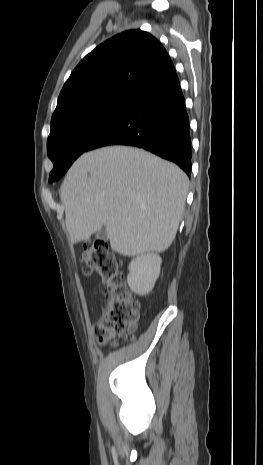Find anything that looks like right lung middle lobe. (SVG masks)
Listing matches in <instances>:
<instances>
[{
    "label": "right lung middle lobe",
    "mask_w": 263,
    "mask_h": 465,
    "mask_svg": "<svg viewBox=\"0 0 263 465\" xmlns=\"http://www.w3.org/2000/svg\"><path fill=\"white\" fill-rule=\"evenodd\" d=\"M134 97L109 96L74 106L51 119L47 153L53 162L49 182L57 181L74 160L130 107Z\"/></svg>",
    "instance_id": "dd1d6c3e"
}]
</instances>
